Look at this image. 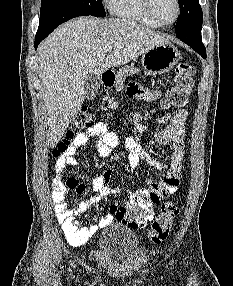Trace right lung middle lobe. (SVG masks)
I'll return each mask as SVG.
<instances>
[{
	"instance_id": "obj_1",
	"label": "right lung middle lobe",
	"mask_w": 233,
	"mask_h": 286,
	"mask_svg": "<svg viewBox=\"0 0 233 286\" xmlns=\"http://www.w3.org/2000/svg\"><path fill=\"white\" fill-rule=\"evenodd\" d=\"M63 8L96 17L106 16L101 0H41L40 20Z\"/></svg>"
}]
</instances>
